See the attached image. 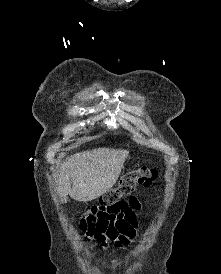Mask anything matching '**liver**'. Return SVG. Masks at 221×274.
I'll return each mask as SVG.
<instances>
[{
    "label": "liver",
    "instance_id": "obj_1",
    "mask_svg": "<svg viewBox=\"0 0 221 274\" xmlns=\"http://www.w3.org/2000/svg\"><path fill=\"white\" fill-rule=\"evenodd\" d=\"M128 156L127 150L98 148L68 157L56 175L57 190L64 203L97 199L117 182Z\"/></svg>",
    "mask_w": 221,
    "mask_h": 274
}]
</instances>
